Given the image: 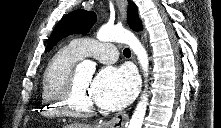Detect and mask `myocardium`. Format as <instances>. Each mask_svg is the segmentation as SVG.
Returning <instances> with one entry per match:
<instances>
[{
    "label": "myocardium",
    "mask_w": 221,
    "mask_h": 128,
    "mask_svg": "<svg viewBox=\"0 0 221 128\" xmlns=\"http://www.w3.org/2000/svg\"><path fill=\"white\" fill-rule=\"evenodd\" d=\"M77 98L76 75L72 74L61 96L60 102L63 113L70 117H87L95 112L93 104H80Z\"/></svg>",
    "instance_id": "obj_1"
}]
</instances>
